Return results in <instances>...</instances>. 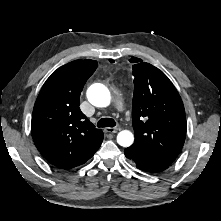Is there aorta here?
Returning <instances> with one entry per match:
<instances>
[{
    "mask_svg": "<svg viewBox=\"0 0 221 221\" xmlns=\"http://www.w3.org/2000/svg\"><path fill=\"white\" fill-rule=\"evenodd\" d=\"M89 102L96 107H107L111 102L108 88L103 84H93L87 91ZM134 136L128 130H123L117 135V142L120 146L129 147L133 144Z\"/></svg>",
    "mask_w": 221,
    "mask_h": 221,
    "instance_id": "1",
    "label": "aorta"
}]
</instances>
